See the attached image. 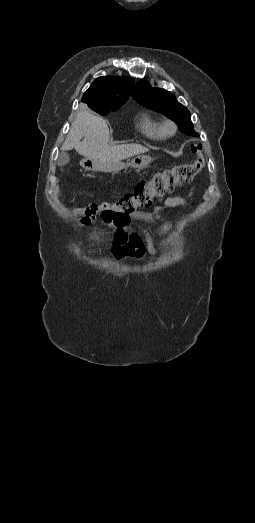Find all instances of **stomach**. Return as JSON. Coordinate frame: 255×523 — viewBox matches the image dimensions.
I'll return each instance as SVG.
<instances>
[{
  "label": "stomach",
  "mask_w": 255,
  "mask_h": 523,
  "mask_svg": "<svg viewBox=\"0 0 255 523\" xmlns=\"http://www.w3.org/2000/svg\"><path fill=\"white\" fill-rule=\"evenodd\" d=\"M150 162L151 158H148V156H137L130 162L129 166H132V168H146Z\"/></svg>",
  "instance_id": "obj_1"
}]
</instances>
